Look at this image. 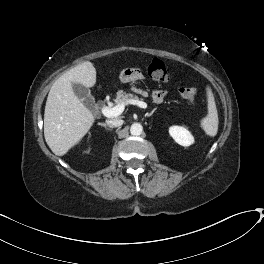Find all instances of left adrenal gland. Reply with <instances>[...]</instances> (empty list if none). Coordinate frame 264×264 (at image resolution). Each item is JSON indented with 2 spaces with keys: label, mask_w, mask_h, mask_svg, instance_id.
Returning a JSON list of instances; mask_svg holds the SVG:
<instances>
[{
  "label": "left adrenal gland",
  "mask_w": 264,
  "mask_h": 264,
  "mask_svg": "<svg viewBox=\"0 0 264 264\" xmlns=\"http://www.w3.org/2000/svg\"><path fill=\"white\" fill-rule=\"evenodd\" d=\"M155 111H156V108H154L150 113H146L145 116L150 117V116H152V114H153Z\"/></svg>",
  "instance_id": "a2214340"
}]
</instances>
